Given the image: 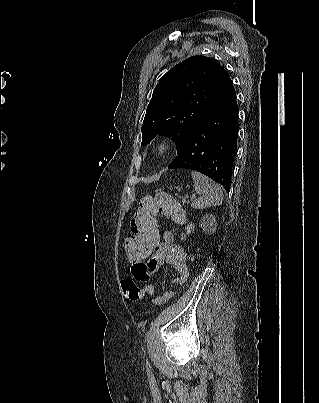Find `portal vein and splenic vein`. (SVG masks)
<instances>
[{"label": "portal vein and splenic vein", "instance_id": "portal-vein-and-splenic-vein-1", "mask_svg": "<svg viewBox=\"0 0 319 403\" xmlns=\"http://www.w3.org/2000/svg\"><path fill=\"white\" fill-rule=\"evenodd\" d=\"M193 198H194V195L191 196V200H192ZM186 199H188V196H187V195L185 196V198L182 199V201L185 203V202H187Z\"/></svg>", "mask_w": 319, "mask_h": 403}]
</instances>
